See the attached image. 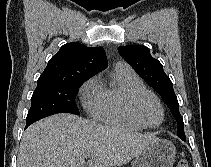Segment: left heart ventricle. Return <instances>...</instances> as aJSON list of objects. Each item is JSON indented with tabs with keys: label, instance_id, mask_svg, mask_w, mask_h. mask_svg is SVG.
Masks as SVG:
<instances>
[{
	"label": "left heart ventricle",
	"instance_id": "b2bd125f",
	"mask_svg": "<svg viewBox=\"0 0 211 167\" xmlns=\"http://www.w3.org/2000/svg\"><path fill=\"white\" fill-rule=\"evenodd\" d=\"M136 110L140 118L148 125H156L161 120V110L150 95L143 94L137 99Z\"/></svg>",
	"mask_w": 211,
	"mask_h": 167
}]
</instances>
